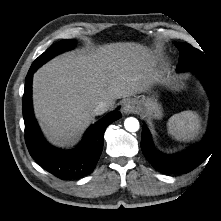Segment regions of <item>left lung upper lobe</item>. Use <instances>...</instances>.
Segmentation results:
<instances>
[{
  "instance_id": "5c2ea615",
  "label": "left lung upper lobe",
  "mask_w": 221,
  "mask_h": 221,
  "mask_svg": "<svg viewBox=\"0 0 221 221\" xmlns=\"http://www.w3.org/2000/svg\"><path fill=\"white\" fill-rule=\"evenodd\" d=\"M175 45L180 52L179 64L177 66L178 71L190 70L196 72H206L212 74L215 78V73L213 72L209 61L200 50L187 43L178 42Z\"/></svg>"
}]
</instances>
